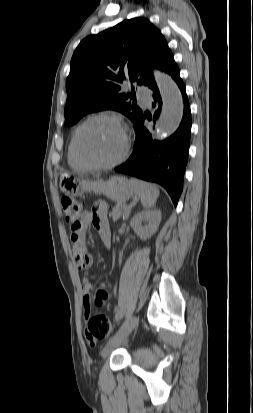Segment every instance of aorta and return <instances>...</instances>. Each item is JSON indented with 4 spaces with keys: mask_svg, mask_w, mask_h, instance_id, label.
I'll list each match as a JSON object with an SVG mask.
<instances>
[{
    "mask_svg": "<svg viewBox=\"0 0 253 413\" xmlns=\"http://www.w3.org/2000/svg\"><path fill=\"white\" fill-rule=\"evenodd\" d=\"M155 81L163 101L155 138L163 140L179 127L183 117L184 104L181 92L170 76L157 72L155 73Z\"/></svg>",
    "mask_w": 253,
    "mask_h": 413,
    "instance_id": "aorta-1",
    "label": "aorta"
}]
</instances>
